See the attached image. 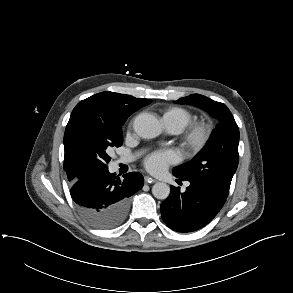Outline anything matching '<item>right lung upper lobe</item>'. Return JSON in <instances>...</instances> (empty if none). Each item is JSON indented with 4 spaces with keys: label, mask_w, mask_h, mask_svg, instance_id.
<instances>
[{
    "label": "right lung upper lobe",
    "mask_w": 293,
    "mask_h": 293,
    "mask_svg": "<svg viewBox=\"0 0 293 293\" xmlns=\"http://www.w3.org/2000/svg\"><path fill=\"white\" fill-rule=\"evenodd\" d=\"M95 95L103 98L112 107L119 108L121 110H130L133 112L151 102L150 99L135 98L130 95H124L109 91L101 92ZM64 169L67 173L68 180L74 182L76 179L72 176L71 172L65 165Z\"/></svg>",
    "instance_id": "cb5924a9"
}]
</instances>
